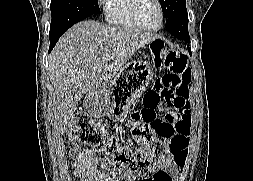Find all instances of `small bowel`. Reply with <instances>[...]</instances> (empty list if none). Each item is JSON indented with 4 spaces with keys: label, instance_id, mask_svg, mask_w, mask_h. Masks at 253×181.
<instances>
[{
    "label": "small bowel",
    "instance_id": "c3829d8e",
    "mask_svg": "<svg viewBox=\"0 0 253 181\" xmlns=\"http://www.w3.org/2000/svg\"><path fill=\"white\" fill-rule=\"evenodd\" d=\"M173 130H180L177 135L175 145V158L164 165V167H150L151 177L145 181H180V173L185 167L188 148L190 143V134L192 125L190 117L182 118L177 125H173ZM71 166L76 177L80 181H134L132 174H111L102 172L96 165L94 158L79 149L70 150Z\"/></svg>",
    "mask_w": 253,
    "mask_h": 181
}]
</instances>
